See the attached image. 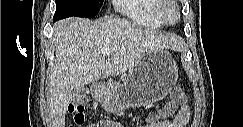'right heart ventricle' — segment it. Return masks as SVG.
<instances>
[{
	"label": "right heart ventricle",
	"mask_w": 243,
	"mask_h": 127,
	"mask_svg": "<svg viewBox=\"0 0 243 127\" xmlns=\"http://www.w3.org/2000/svg\"><path fill=\"white\" fill-rule=\"evenodd\" d=\"M158 0H118L117 11L133 24L160 29L164 23L157 16Z\"/></svg>",
	"instance_id": "1"
}]
</instances>
